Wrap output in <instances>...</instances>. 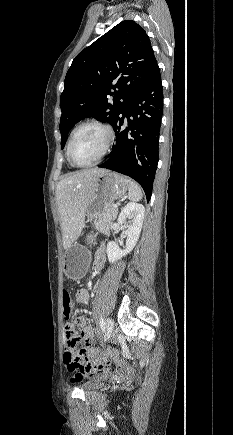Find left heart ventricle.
Masks as SVG:
<instances>
[{"mask_svg":"<svg viewBox=\"0 0 233 435\" xmlns=\"http://www.w3.org/2000/svg\"><path fill=\"white\" fill-rule=\"evenodd\" d=\"M106 141L102 129L96 126H87L77 132L74 137L71 154L78 164H86L97 158Z\"/></svg>","mask_w":233,"mask_h":435,"instance_id":"left-heart-ventricle-1","label":"left heart ventricle"}]
</instances>
